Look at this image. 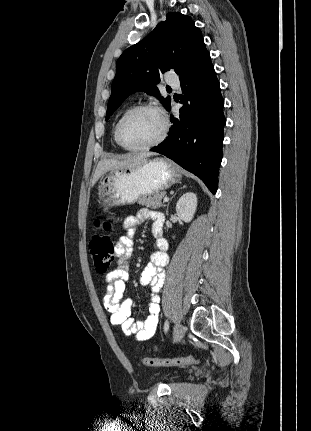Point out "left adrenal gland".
<instances>
[{"mask_svg": "<svg viewBox=\"0 0 311 431\" xmlns=\"http://www.w3.org/2000/svg\"><path fill=\"white\" fill-rule=\"evenodd\" d=\"M183 188H186V186H183ZM183 188H179V190H183ZM168 208H169V204H167L166 216H169Z\"/></svg>", "mask_w": 311, "mask_h": 431, "instance_id": "1", "label": "left adrenal gland"}]
</instances>
